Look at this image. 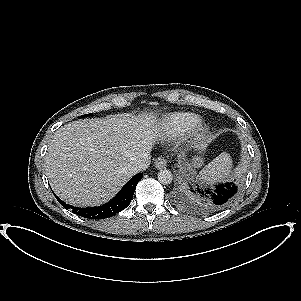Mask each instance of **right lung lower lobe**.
I'll list each match as a JSON object with an SVG mask.
<instances>
[{
	"instance_id": "right-lung-lower-lobe-1",
	"label": "right lung lower lobe",
	"mask_w": 301,
	"mask_h": 301,
	"mask_svg": "<svg viewBox=\"0 0 301 301\" xmlns=\"http://www.w3.org/2000/svg\"><path fill=\"white\" fill-rule=\"evenodd\" d=\"M142 177V173H138L132 177L111 201L99 207L77 208L66 204L58 197H56V199L64 208L67 210L71 209L73 213L78 214L79 216L91 219L108 218L119 213L130 204L136 185Z\"/></svg>"
}]
</instances>
